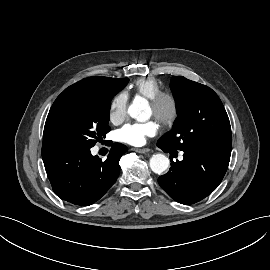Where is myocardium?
Instances as JSON below:
<instances>
[{"label": "myocardium", "instance_id": "1", "mask_svg": "<svg viewBox=\"0 0 270 270\" xmlns=\"http://www.w3.org/2000/svg\"><path fill=\"white\" fill-rule=\"evenodd\" d=\"M154 117L164 126H171L177 119L179 104L176 96L161 91L150 99Z\"/></svg>", "mask_w": 270, "mask_h": 270}]
</instances>
